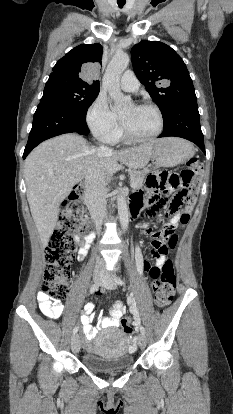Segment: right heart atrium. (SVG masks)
Returning <instances> with one entry per match:
<instances>
[{
    "label": "right heart atrium",
    "mask_w": 233,
    "mask_h": 414,
    "mask_svg": "<svg viewBox=\"0 0 233 414\" xmlns=\"http://www.w3.org/2000/svg\"><path fill=\"white\" fill-rule=\"evenodd\" d=\"M86 121L91 132L99 139L112 143L119 130V120L107 102L105 96L99 94L86 112Z\"/></svg>",
    "instance_id": "d8ad5b80"
}]
</instances>
